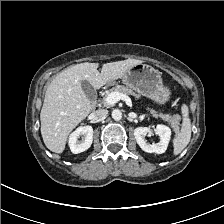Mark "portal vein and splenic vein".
Returning <instances> with one entry per match:
<instances>
[{
  "label": "portal vein and splenic vein",
  "instance_id": "1",
  "mask_svg": "<svg viewBox=\"0 0 224 224\" xmlns=\"http://www.w3.org/2000/svg\"><path fill=\"white\" fill-rule=\"evenodd\" d=\"M123 100L128 106L132 105V101L129 96L119 92H112L106 97V103L109 105H114L118 101Z\"/></svg>",
  "mask_w": 224,
  "mask_h": 224
}]
</instances>
